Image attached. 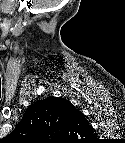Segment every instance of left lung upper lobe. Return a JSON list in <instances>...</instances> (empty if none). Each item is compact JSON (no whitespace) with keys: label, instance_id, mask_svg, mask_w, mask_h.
Instances as JSON below:
<instances>
[{"label":"left lung upper lobe","instance_id":"1","mask_svg":"<svg viewBox=\"0 0 125 143\" xmlns=\"http://www.w3.org/2000/svg\"><path fill=\"white\" fill-rule=\"evenodd\" d=\"M69 101L57 97H49L30 105L14 131L7 140H25L34 143L49 137H75L79 130L92 131L85 118L67 125L65 107Z\"/></svg>","mask_w":125,"mask_h":143}]
</instances>
